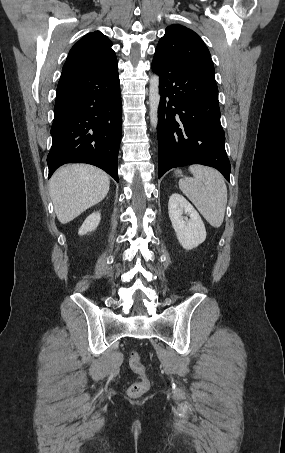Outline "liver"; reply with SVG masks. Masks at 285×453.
I'll use <instances>...</instances> for the list:
<instances>
[{"mask_svg":"<svg viewBox=\"0 0 285 453\" xmlns=\"http://www.w3.org/2000/svg\"><path fill=\"white\" fill-rule=\"evenodd\" d=\"M109 176L86 164L59 168L50 179V196L55 213L66 224L102 201L109 191Z\"/></svg>","mask_w":285,"mask_h":453,"instance_id":"6515ba94","label":"liver"}]
</instances>
